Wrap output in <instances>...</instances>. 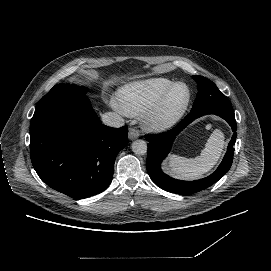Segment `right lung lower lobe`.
Instances as JSON below:
<instances>
[{"mask_svg": "<svg viewBox=\"0 0 271 271\" xmlns=\"http://www.w3.org/2000/svg\"><path fill=\"white\" fill-rule=\"evenodd\" d=\"M128 128L102 125L87 97L58 100L35 109L30 157L48 186L74 199L104 191Z\"/></svg>", "mask_w": 271, "mask_h": 271, "instance_id": "obj_1", "label": "right lung lower lobe"}]
</instances>
